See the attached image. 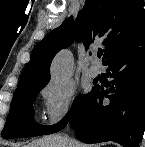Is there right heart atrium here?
Masks as SVG:
<instances>
[{"label": "right heart atrium", "instance_id": "1", "mask_svg": "<svg viewBox=\"0 0 145 147\" xmlns=\"http://www.w3.org/2000/svg\"><path fill=\"white\" fill-rule=\"evenodd\" d=\"M75 96L76 89L72 84H46L41 90L44 122L55 126L65 120L71 113Z\"/></svg>", "mask_w": 145, "mask_h": 147}]
</instances>
